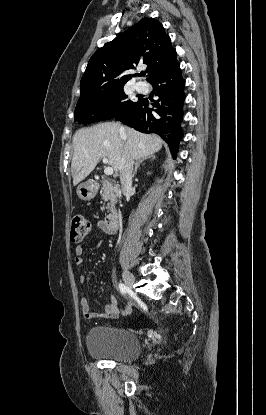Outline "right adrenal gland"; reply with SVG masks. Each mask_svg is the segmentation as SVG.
Here are the masks:
<instances>
[{"mask_svg":"<svg viewBox=\"0 0 266 415\" xmlns=\"http://www.w3.org/2000/svg\"><path fill=\"white\" fill-rule=\"evenodd\" d=\"M155 159V156L154 155H151V156H148V157H145V158H142V159H139L138 161H136V163H135V168H134V171H133V175H132V177L134 178L135 177V175H136V173H137V169H138V167L144 162V161H146V160H154Z\"/></svg>","mask_w":266,"mask_h":415,"instance_id":"right-adrenal-gland-1","label":"right adrenal gland"}]
</instances>
